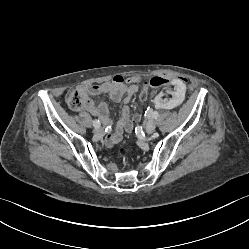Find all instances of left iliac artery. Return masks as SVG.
<instances>
[{
	"instance_id": "obj_1",
	"label": "left iliac artery",
	"mask_w": 249,
	"mask_h": 249,
	"mask_svg": "<svg viewBox=\"0 0 249 249\" xmlns=\"http://www.w3.org/2000/svg\"><path fill=\"white\" fill-rule=\"evenodd\" d=\"M148 114L152 117V118H154V119H157V117H158V112L157 111H148Z\"/></svg>"
}]
</instances>
